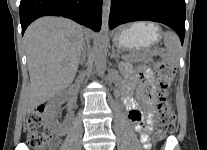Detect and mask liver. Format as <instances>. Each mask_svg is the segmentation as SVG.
<instances>
[{
  "label": "liver",
  "mask_w": 207,
  "mask_h": 150,
  "mask_svg": "<svg viewBox=\"0 0 207 150\" xmlns=\"http://www.w3.org/2000/svg\"><path fill=\"white\" fill-rule=\"evenodd\" d=\"M24 42L31 82L29 113L73 82L84 45L83 28L72 20L47 16L27 28Z\"/></svg>",
  "instance_id": "obj_1"
}]
</instances>
